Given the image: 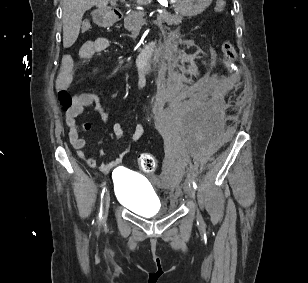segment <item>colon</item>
Here are the masks:
<instances>
[{
  "mask_svg": "<svg viewBox=\"0 0 308 283\" xmlns=\"http://www.w3.org/2000/svg\"><path fill=\"white\" fill-rule=\"evenodd\" d=\"M226 7L225 0H216L215 3V11L222 12ZM91 29V25L88 21H84L82 23V31L87 32ZM236 58V51L234 45L230 41H225L223 45V64L227 70H229L235 61ZM58 99L60 104L65 110H68L73 105V97L66 91L60 90L58 92ZM89 125L83 124L81 126H74L73 130L78 135L79 131H86L88 130ZM139 167L144 172H153L157 167V160L156 158L149 153H143L139 156L138 159Z\"/></svg>",
  "mask_w": 308,
  "mask_h": 283,
  "instance_id": "5ec220e1",
  "label": "colon"
}]
</instances>
